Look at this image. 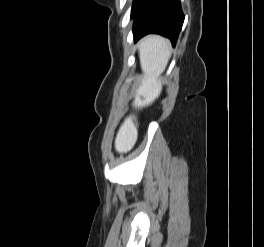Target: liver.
<instances>
[{
    "label": "liver",
    "mask_w": 264,
    "mask_h": 247,
    "mask_svg": "<svg viewBox=\"0 0 264 247\" xmlns=\"http://www.w3.org/2000/svg\"><path fill=\"white\" fill-rule=\"evenodd\" d=\"M138 50L143 77L133 101L135 109L146 107L159 97L162 90L160 76L171 57L168 40L158 35L143 38L138 43ZM138 96H144L145 99L141 101ZM133 120L136 121L134 115L127 117L117 133L115 149L120 153L130 151L137 140V129Z\"/></svg>",
    "instance_id": "1"
}]
</instances>
